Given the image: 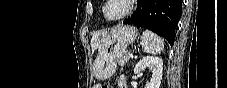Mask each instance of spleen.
<instances>
[{
  "instance_id": "spleen-1",
  "label": "spleen",
  "mask_w": 227,
  "mask_h": 88,
  "mask_svg": "<svg viewBox=\"0 0 227 88\" xmlns=\"http://www.w3.org/2000/svg\"><path fill=\"white\" fill-rule=\"evenodd\" d=\"M141 40L142 48L146 53L155 55L164 48V40L152 31H143Z\"/></svg>"
}]
</instances>
